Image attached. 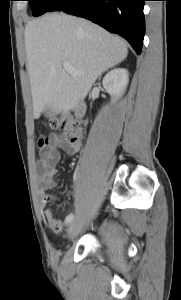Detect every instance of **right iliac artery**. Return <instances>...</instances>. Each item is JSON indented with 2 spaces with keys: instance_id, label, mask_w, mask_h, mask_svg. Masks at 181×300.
Segmentation results:
<instances>
[{
  "instance_id": "82829eb1",
  "label": "right iliac artery",
  "mask_w": 181,
  "mask_h": 300,
  "mask_svg": "<svg viewBox=\"0 0 181 300\" xmlns=\"http://www.w3.org/2000/svg\"><path fill=\"white\" fill-rule=\"evenodd\" d=\"M74 219V215L73 214H69L66 219H65V223H70L72 220Z\"/></svg>"
}]
</instances>
